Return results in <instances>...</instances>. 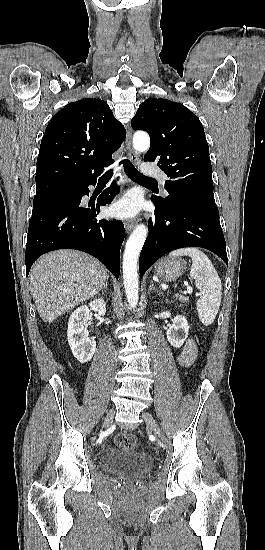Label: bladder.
<instances>
[{
    "mask_svg": "<svg viewBox=\"0 0 265 550\" xmlns=\"http://www.w3.org/2000/svg\"><path fill=\"white\" fill-rule=\"evenodd\" d=\"M99 464L109 474L142 476L151 469L152 458L147 451L117 447L105 450Z\"/></svg>",
    "mask_w": 265,
    "mask_h": 550,
    "instance_id": "obj_1",
    "label": "bladder"
}]
</instances>
